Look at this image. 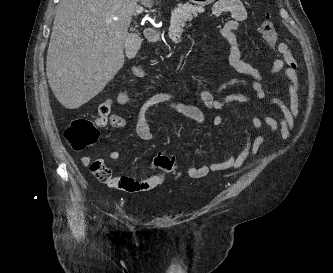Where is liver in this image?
I'll use <instances>...</instances> for the list:
<instances>
[{
    "label": "liver",
    "instance_id": "1",
    "mask_svg": "<svg viewBox=\"0 0 333 273\" xmlns=\"http://www.w3.org/2000/svg\"><path fill=\"white\" fill-rule=\"evenodd\" d=\"M154 0H60L46 74L57 100L77 109L99 94L124 64V44L138 3Z\"/></svg>",
    "mask_w": 333,
    "mask_h": 273
}]
</instances>
